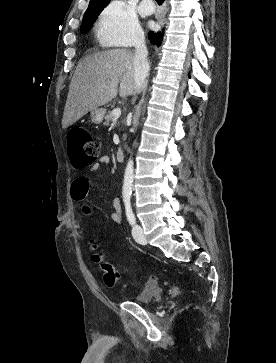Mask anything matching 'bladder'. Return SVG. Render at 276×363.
<instances>
[{
  "label": "bladder",
  "instance_id": "31cf9c89",
  "mask_svg": "<svg viewBox=\"0 0 276 363\" xmlns=\"http://www.w3.org/2000/svg\"><path fill=\"white\" fill-rule=\"evenodd\" d=\"M163 297V289L159 286H147L143 292L138 295L134 301L142 305H156L161 302Z\"/></svg>",
  "mask_w": 276,
  "mask_h": 363
}]
</instances>
